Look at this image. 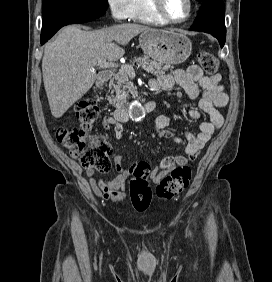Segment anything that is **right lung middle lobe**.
Instances as JSON below:
<instances>
[{
	"label": "right lung middle lobe",
	"mask_w": 272,
	"mask_h": 282,
	"mask_svg": "<svg viewBox=\"0 0 272 282\" xmlns=\"http://www.w3.org/2000/svg\"><path fill=\"white\" fill-rule=\"evenodd\" d=\"M80 7L108 8V0H43V17L54 11Z\"/></svg>",
	"instance_id": "right-lung-middle-lobe-1"
}]
</instances>
